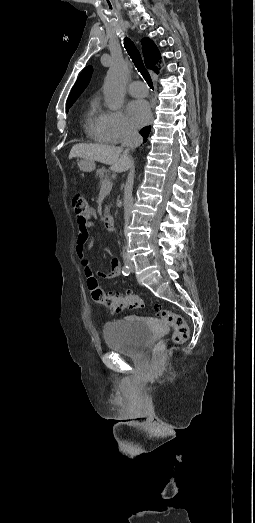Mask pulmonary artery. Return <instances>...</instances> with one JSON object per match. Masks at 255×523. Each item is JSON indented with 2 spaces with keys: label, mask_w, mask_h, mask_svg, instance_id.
<instances>
[{
  "label": "pulmonary artery",
  "mask_w": 255,
  "mask_h": 523,
  "mask_svg": "<svg viewBox=\"0 0 255 523\" xmlns=\"http://www.w3.org/2000/svg\"><path fill=\"white\" fill-rule=\"evenodd\" d=\"M128 91L132 96L142 97L147 95L148 86L144 82L135 81L130 83Z\"/></svg>",
  "instance_id": "1"
}]
</instances>
